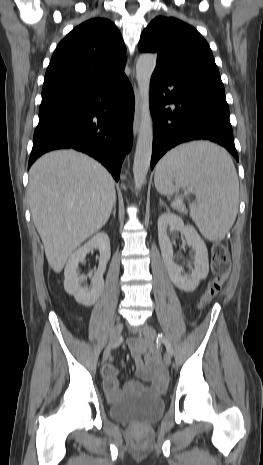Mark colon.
I'll return each instance as SVG.
<instances>
[{
	"label": "colon",
	"instance_id": "1",
	"mask_svg": "<svg viewBox=\"0 0 263 465\" xmlns=\"http://www.w3.org/2000/svg\"><path fill=\"white\" fill-rule=\"evenodd\" d=\"M230 258L222 243H214L211 249L212 279L201 296V305L208 304L216 297L224 286L230 273Z\"/></svg>",
	"mask_w": 263,
	"mask_h": 465
}]
</instances>
